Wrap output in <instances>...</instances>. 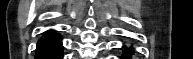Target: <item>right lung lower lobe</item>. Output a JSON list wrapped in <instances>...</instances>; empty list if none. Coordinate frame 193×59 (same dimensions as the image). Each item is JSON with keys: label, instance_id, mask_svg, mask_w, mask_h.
I'll return each instance as SVG.
<instances>
[{"label": "right lung lower lobe", "instance_id": "obj_1", "mask_svg": "<svg viewBox=\"0 0 193 59\" xmlns=\"http://www.w3.org/2000/svg\"><path fill=\"white\" fill-rule=\"evenodd\" d=\"M62 44L58 34L46 35L37 44L35 59H62Z\"/></svg>", "mask_w": 193, "mask_h": 59}]
</instances>
